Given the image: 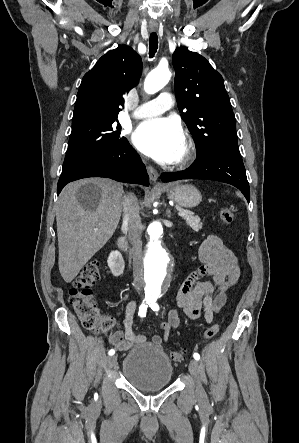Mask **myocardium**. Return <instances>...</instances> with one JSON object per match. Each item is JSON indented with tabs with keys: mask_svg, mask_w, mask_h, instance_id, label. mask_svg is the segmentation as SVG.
I'll return each instance as SVG.
<instances>
[{
	"mask_svg": "<svg viewBox=\"0 0 299 443\" xmlns=\"http://www.w3.org/2000/svg\"><path fill=\"white\" fill-rule=\"evenodd\" d=\"M195 152L196 148L194 141L191 137L187 136L185 138V151L177 161L173 162L172 166L175 168H184L188 166L192 162L195 156Z\"/></svg>",
	"mask_w": 299,
	"mask_h": 443,
	"instance_id": "myocardium-1",
	"label": "myocardium"
}]
</instances>
